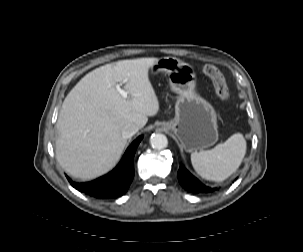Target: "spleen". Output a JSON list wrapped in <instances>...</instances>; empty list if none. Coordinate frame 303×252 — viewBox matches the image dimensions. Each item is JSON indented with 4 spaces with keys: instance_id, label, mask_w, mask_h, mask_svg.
Instances as JSON below:
<instances>
[{
    "instance_id": "spleen-1",
    "label": "spleen",
    "mask_w": 303,
    "mask_h": 252,
    "mask_svg": "<svg viewBox=\"0 0 303 252\" xmlns=\"http://www.w3.org/2000/svg\"><path fill=\"white\" fill-rule=\"evenodd\" d=\"M246 141L235 133L211 150L193 152L191 163L198 175L206 180L224 181L239 168L245 154Z\"/></svg>"
}]
</instances>
